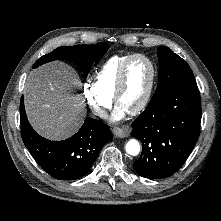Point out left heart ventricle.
Wrapping results in <instances>:
<instances>
[{
    "mask_svg": "<svg viewBox=\"0 0 221 221\" xmlns=\"http://www.w3.org/2000/svg\"><path fill=\"white\" fill-rule=\"evenodd\" d=\"M151 77L147 61L137 58L132 61L127 72L125 88L118 100V106L127 112L132 111L143 99Z\"/></svg>",
    "mask_w": 221,
    "mask_h": 221,
    "instance_id": "1",
    "label": "left heart ventricle"
}]
</instances>
